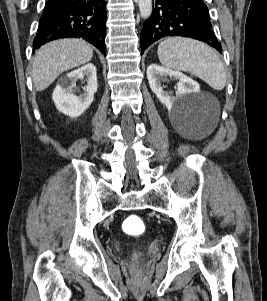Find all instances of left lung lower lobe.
<instances>
[{"mask_svg": "<svg viewBox=\"0 0 267 301\" xmlns=\"http://www.w3.org/2000/svg\"><path fill=\"white\" fill-rule=\"evenodd\" d=\"M154 3L152 15L141 31V54L150 44L166 36L201 40L222 53L203 0H154Z\"/></svg>", "mask_w": 267, "mask_h": 301, "instance_id": "left-lung-lower-lobe-1", "label": "left lung lower lobe"}]
</instances>
